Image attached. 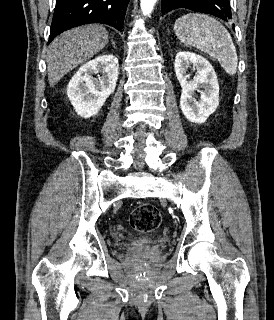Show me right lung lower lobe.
<instances>
[{
    "instance_id": "98d812e1",
    "label": "right lung lower lobe",
    "mask_w": 274,
    "mask_h": 320,
    "mask_svg": "<svg viewBox=\"0 0 274 320\" xmlns=\"http://www.w3.org/2000/svg\"><path fill=\"white\" fill-rule=\"evenodd\" d=\"M129 0H56L50 43L57 35L84 24L104 23L122 30Z\"/></svg>"
}]
</instances>
